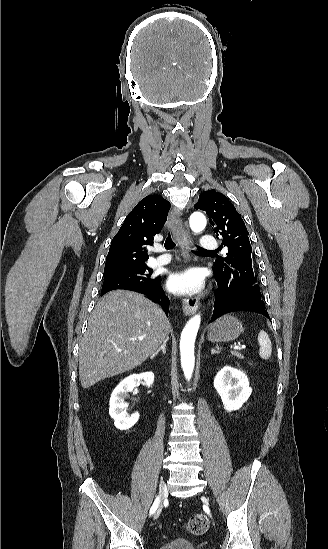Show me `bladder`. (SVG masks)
<instances>
[{
	"instance_id": "31cf9c89",
	"label": "bladder",
	"mask_w": 328,
	"mask_h": 549,
	"mask_svg": "<svg viewBox=\"0 0 328 549\" xmlns=\"http://www.w3.org/2000/svg\"><path fill=\"white\" fill-rule=\"evenodd\" d=\"M162 549H188L184 546L182 542H174L171 545H166Z\"/></svg>"
}]
</instances>
